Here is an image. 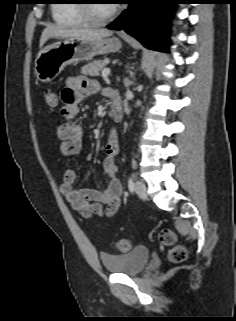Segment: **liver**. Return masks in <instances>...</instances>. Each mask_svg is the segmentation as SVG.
I'll list each match as a JSON object with an SVG mask.
<instances>
[{"instance_id":"obj_1","label":"liver","mask_w":236,"mask_h":321,"mask_svg":"<svg viewBox=\"0 0 236 321\" xmlns=\"http://www.w3.org/2000/svg\"><path fill=\"white\" fill-rule=\"evenodd\" d=\"M113 31L107 29L72 28L61 29L54 25H48L42 32L40 48L51 38H81L84 40H98L109 37Z\"/></svg>"}]
</instances>
